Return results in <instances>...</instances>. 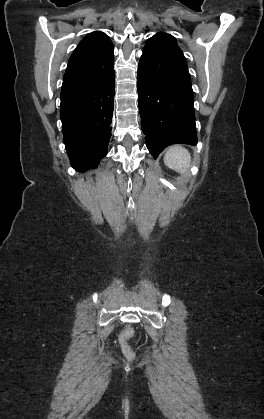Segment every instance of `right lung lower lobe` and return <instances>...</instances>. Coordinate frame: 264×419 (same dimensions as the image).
Listing matches in <instances>:
<instances>
[{"mask_svg":"<svg viewBox=\"0 0 264 419\" xmlns=\"http://www.w3.org/2000/svg\"><path fill=\"white\" fill-rule=\"evenodd\" d=\"M115 72L102 82L62 90L60 115L71 165L80 172L106 156L114 109Z\"/></svg>","mask_w":264,"mask_h":419,"instance_id":"obj_1","label":"right lung lower lobe"}]
</instances>
